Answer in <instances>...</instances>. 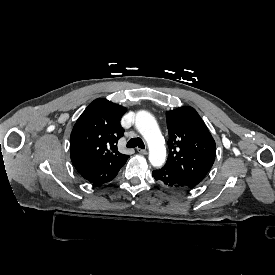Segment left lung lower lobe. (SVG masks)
I'll return each instance as SVG.
<instances>
[{"label": "left lung lower lobe", "mask_w": 275, "mask_h": 275, "mask_svg": "<svg viewBox=\"0 0 275 275\" xmlns=\"http://www.w3.org/2000/svg\"><path fill=\"white\" fill-rule=\"evenodd\" d=\"M152 175L156 181L168 190L183 192L191 189L176 174L166 167L154 170Z\"/></svg>", "instance_id": "left-lung-lower-lobe-1"}]
</instances>
